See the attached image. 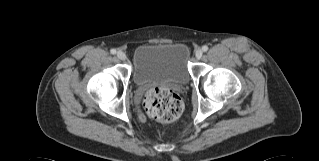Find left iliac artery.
<instances>
[{"instance_id": "left-iliac-artery-1", "label": "left iliac artery", "mask_w": 319, "mask_h": 161, "mask_svg": "<svg viewBox=\"0 0 319 161\" xmlns=\"http://www.w3.org/2000/svg\"><path fill=\"white\" fill-rule=\"evenodd\" d=\"M202 50H203L204 52H206V51L208 50V47L205 45V46L202 47Z\"/></svg>"}]
</instances>
